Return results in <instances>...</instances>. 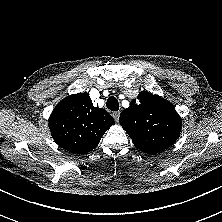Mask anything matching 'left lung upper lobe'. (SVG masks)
<instances>
[{
    "label": "left lung upper lobe",
    "instance_id": "obj_1",
    "mask_svg": "<svg viewBox=\"0 0 222 222\" xmlns=\"http://www.w3.org/2000/svg\"><path fill=\"white\" fill-rule=\"evenodd\" d=\"M120 115V124L142 152L155 154L172 146L181 132L174 106L158 95L140 92Z\"/></svg>",
    "mask_w": 222,
    "mask_h": 222
}]
</instances>
